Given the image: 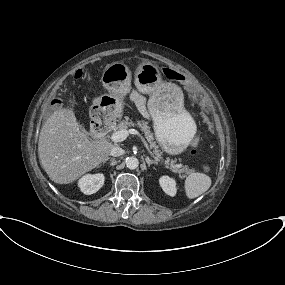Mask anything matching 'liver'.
<instances>
[{"mask_svg":"<svg viewBox=\"0 0 285 285\" xmlns=\"http://www.w3.org/2000/svg\"><path fill=\"white\" fill-rule=\"evenodd\" d=\"M114 147L106 140L93 141L69 108L55 111L42 126L38 156L50 180L68 184L108 160Z\"/></svg>","mask_w":285,"mask_h":285,"instance_id":"1","label":"liver"}]
</instances>
